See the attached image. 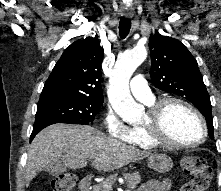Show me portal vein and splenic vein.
Segmentation results:
<instances>
[{
  "label": "portal vein and splenic vein",
  "mask_w": 221,
  "mask_h": 191,
  "mask_svg": "<svg viewBox=\"0 0 221 191\" xmlns=\"http://www.w3.org/2000/svg\"><path fill=\"white\" fill-rule=\"evenodd\" d=\"M108 190H111V186L105 185Z\"/></svg>",
  "instance_id": "18ae733b"
}]
</instances>
